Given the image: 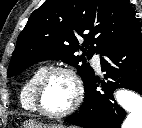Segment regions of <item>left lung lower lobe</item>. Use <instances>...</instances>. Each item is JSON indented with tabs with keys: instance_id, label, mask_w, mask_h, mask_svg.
I'll list each match as a JSON object with an SVG mask.
<instances>
[{
	"instance_id": "0a47b994",
	"label": "left lung lower lobe",
	"mask_w": 142,
	"mask_h": 128,
	"mask_svg": "<svg viewBox=\"0 0 142 128\" xmlns=\"http://www.w3.org/2000/svg\"><path fill=\"white\" fill-rule=\"evenodd\" d=\"M101 55L105 81L94 75L85 86V100L79 113L65 122L83 128H120L125 111L113 98L115 88H128L142 95V33L140 26L109 44ZM101 84V91L96 88Z\"/></svg>"
}]
</instances>
